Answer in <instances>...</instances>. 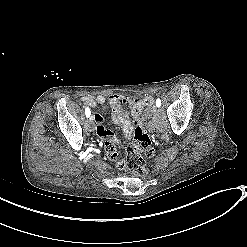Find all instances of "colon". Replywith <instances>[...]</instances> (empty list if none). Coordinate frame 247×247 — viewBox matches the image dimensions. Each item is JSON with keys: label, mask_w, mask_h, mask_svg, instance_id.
Wrapping results in <instances>:
<instances>
[{"label": "colon", "mask_w": 247, "mask_h": 247, "mask_svg": "<svg viewBox=\"0 0 247 247\" xmlns=\"http://www.w3.org/2000/svg\"><path fill=\"white\" fill-rule=\"evenodd\" d=\"M125 150L126 169L137 173L140 177H147L148 172L144 168L145 161L143 155L146 157L154 156L155 148L145 127L143 108L142 116L135 128V141L127 144Z\"/></svg>", "instance_id": "5ec220e1"}]
</instances>
